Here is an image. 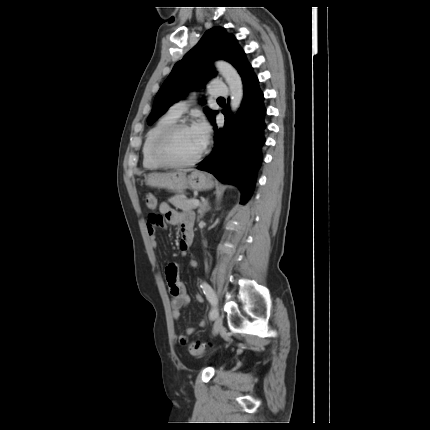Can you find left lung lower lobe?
<instances>
[{
  "label": "left lung lower lobe",
  "mask_w": 430,
  "mask_h": 430,
  "mask_svg": "<svg viewBox=\"0 0 430 430\" xmlns=\"http://www.w3.org/2000/svg\"><path fill=\"white\" fill-rule=\"evenodd\" d=\"M242 82L244 98L239 112L230 117L229 106H226L224 127L214 126L215 147L197 168L214 174L222 183L237 186L241 191L240 203L245 204L253 192L262 160L266 109L256 75L246 73ZM214 118L215 115L211 119L213 124Z\"/></svg>",
  "instance_id": "1"
}]
</instances>
